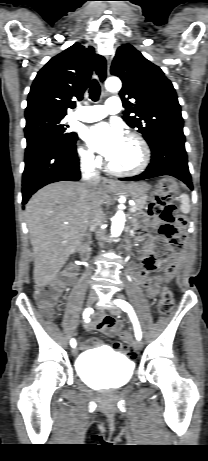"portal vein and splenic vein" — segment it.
<instances>
[{
  "label": "portal vein and splenic vein",
  "instance_id": "portal-vein-and-splenic-vein-1",
  "mask_svg": "<svg viewBox=\"0 0 208 461\" xmlns=\"http://www.w3.org/2000/svg\"><path fill=\"white\" fill-rule=\"evenodd\" d=\"M129 205H130V210L133 211L134 210V206H135V203L134 202H129Z\"/></svg>",
  "mask_w": 208,
  "mask_h": 461
}]
</instances>
